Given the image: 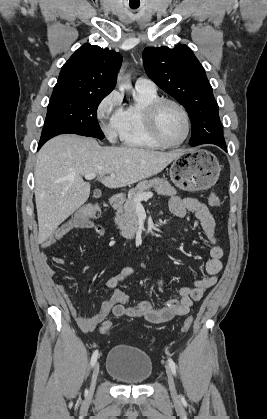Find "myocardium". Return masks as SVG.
Wrapping results in <instances>:
<instances>
[{
  "label": "myocardium",
  "mask_w": 267,
  "mask_h": 419,
  "mask_svg": "<svg viewBox=\"0 0 267 419\" xmlns=\"http://www.w3.org/2000/svg\"><path fill=\"white\" fill-rule=\"evenodd\" d=\"M165 104H172L176 106L181 111L185 120V134L183 138L176 143H170V142L165 141L159 131L158 115L161 108ZM145 122H146L147 130L150 136L152 137V139L161 147H165V148H175L182 145L189 137L190 130H191V120H190V116L187 109L180 102L171 98H158L157 100L152 102L146 109Z\"/></svg>",
  "instance_id": "myocardium-1"
}]
</instances>
